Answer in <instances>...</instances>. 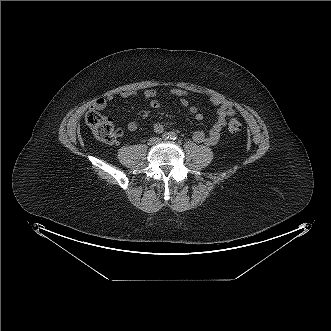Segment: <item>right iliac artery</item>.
Wrapping results in <instances>:
<instances>
[{
    "instance_id": "obj_1",
    "label": "right iliac artery",
    "mask_w": 331,
    "mask_h": 331,
    "mask_svg": "<svg viewBox=\"0 0 331 331\" xmlns=\"http://www.w3.org/2000/svg\"><path fill=\"white\" fill-rule=\"evenodd\" d=\"M169 137H170V134L167 133V132H165V133L162 135V138H163L164 140L169 139Z\"/></svg>"
}]
</instances>
